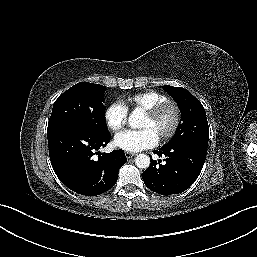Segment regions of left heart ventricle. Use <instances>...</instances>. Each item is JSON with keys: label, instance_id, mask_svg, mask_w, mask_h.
Segmentation results:
<instances>
[{"label": "left heart ventricle", "instance_id": "left-heart-ventricle-1", "mask_svg": "<svg viewBox=\"0 0 257 257\" xmlns=\"http://www.w3.org/2000/svg\"><path fill=\"white\" fill-rule=\"evenodd\" d=\"M173 122L172 110H167L158 119L151 120L144 115L140 128L152 130L158 137L169 130Z\"/></svg>", "mask_w": 257, "mask_h": 257}]
</instances>
